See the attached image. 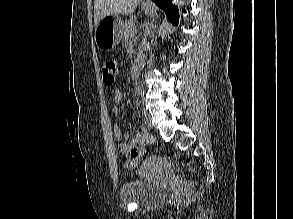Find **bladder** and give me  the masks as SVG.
<instances>
[{
  "label": "bladder",
  "mask_w": 293,
  "mask_h": 219,
  "mask_svg": "<svg viewBox=\"0 0 293 219\" xmlns=\"http://www.w3.org/2000/svg\"><path fill=\"white\" fill-rule=\"evenodd\" d=\"M164 189L141 179H132L120 188V198L124 202L135 203L145 208H154L164 199Z\"/></svg>",
  "instance_id": "bladder-1"
}]
</instances>
